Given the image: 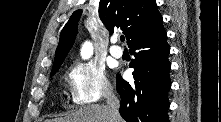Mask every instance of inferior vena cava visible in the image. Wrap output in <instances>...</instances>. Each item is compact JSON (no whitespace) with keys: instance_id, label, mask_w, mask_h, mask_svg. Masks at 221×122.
<instances>
[{"instance_id":"602c4592","label":"inferior vena cava","mask_w":221,"mask_h":122,"mask_svg":"<svg viewBox=\"0 0 221 122\" xmlns=\"http://www.w3.org/2000/svg\"><path fill=\"white\" fill-rule=\"evenodd\" d=\"M106 93V103H107V107L111 116V122H115L119 112V106H120V102L118 100V98L115 96V94L113 93L112 89H107L105 91Z\"/></svg>"}]
</instances>
